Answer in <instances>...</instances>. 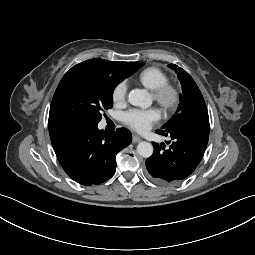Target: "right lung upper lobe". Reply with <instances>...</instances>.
I'll return each mask as SVG.
<instances>
[{
    "instance_id": "cb5924a9",
    "label": "right lung upper lobe",
    "mask_w": 255,
    "mask_h": 255,
    "mask_svg": "<svg viewBox=\"0 0 255 255\" xmlns=\"http://www.w3.org/2000/svg\"><path fill=\"white\" fill-rule=\"evenodd\" d=\"M141 62H113L107 61L104 59H90L79 63L72 67L70 70H79V69H105L112 72H117L120 74H128L129 70L139 65Z\"/></svg>"
}]
</instances>
